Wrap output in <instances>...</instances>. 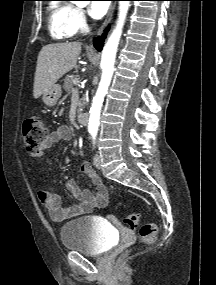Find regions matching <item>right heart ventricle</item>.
<instances>
[{"label": "right heart ventricle", "instance_id": "e07e8e85", "mask_svg": "<svg viewBox=\"0 0 216 285\" xmlns=\"http://www.w3.org/2000/svg\"><path fill=\"white\" fill-rule=\"evenodd\" d=\"M49 32L55 40H66L73 37L76 29L73 22L74 8L69 3L53 2L49 6Z\"/></svg>", "mask_w": 216, "mask_h": 285}]
</instances>
